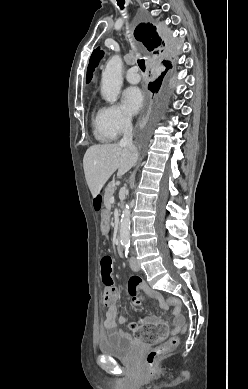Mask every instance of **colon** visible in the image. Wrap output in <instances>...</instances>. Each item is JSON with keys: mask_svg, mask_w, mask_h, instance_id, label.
I'll return each instance as SVG.
<instances>
[{"mask_svg": "<svg viewBox=\"0 0 248 389\" xmlns=\"http://www.w3.org/2000/svg\"><path fill=\"white\" fill-rule=\"evenodd\" d=\"M93 204L100 206L104 199L103 194H94ZM113 260L110 256H104L101 259V273L102 279L105 285L112 287L115 285V280L112 279ZM117 300V293L114 290L104 291L103 302L105 305H110ZM166 306L171 305L174 307L176 314L179 318L183 317L184 311L181 302L174 297L168 298L164 301ZM164 328V326H162ZM158 322H145L144 326L137 330L136 335L141 344H151L152 340H159L160 337H168V330H162ZM176 329L184 330L185 325L183 322L179 323ZM179 340L177 337L170 338L166 343L152 349L146 354L145 364L148 370L155 371L160 359L170 353L178 346Z\"/></svg>", "mask_w": 248, "mask_h": 389, "instance_id": "5ec220e1", "label": "colon"}]
</instances>
